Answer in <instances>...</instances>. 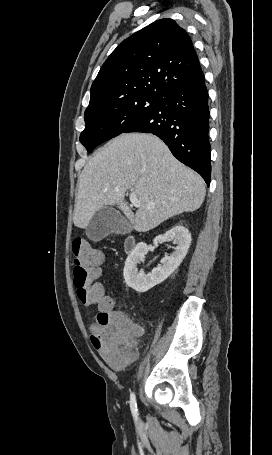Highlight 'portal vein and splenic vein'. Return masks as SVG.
<instances>
[{
    "mask_svg": "<svg viewBox=\"0 0 272 455\" xmlns=\"http://www.w3.org/2000/svg\"><path fill=\"white\" fill-rule=\"evenodd\" d=\"M129 199H130V202H131V204L133 206L138 207V208L141 206V203L138 200V198H137L135 193L131 192L130 195H129Z\"/></svg>",
    "mask_w": 272,
    "mask_h": 455,
    "instance_id": "obj_1",
    "label": "portal vein and splenic vein"
}]
</instances>
